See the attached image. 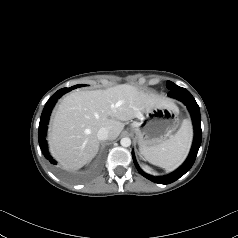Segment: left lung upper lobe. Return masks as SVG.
Instances as JSON below:
<instances>
[{
    "label": "left lung upper lobe",
    "mask_w": 238,
    "mask_h": 238,
    "mask_svg": "<svg viewBox=\"0 0 238 238\" xmlns=\"http://www.w3.org/2000/svg\"><path fill=\"white\" fill-rule=\"evenodd\" d=\"M167 87H168V89H174L175 87H177V85L176 84H174L173 82H171V81H168V83H167Z\"/></svg>",
    "instance_id": "1"
}]
</instances>
